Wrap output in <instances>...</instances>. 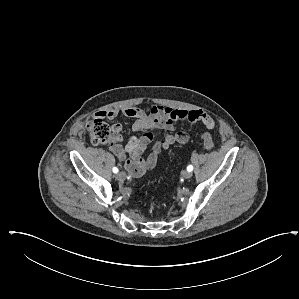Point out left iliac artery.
Wrapping results in <instances>:
<instances>
[{
	"instance_id": "left-iliac-artery-1",
	"label": "left iliac artery",
	"mask_w": 299,
	"mask_h": 299,
	"mask_svg": "<svg viewBox=\"0 0 299 299\" xmlns=\"http://www.w3.org/2000/svg\"><path fill=\"white\" fill-rule=\"evenodd\" d=\"M193 170V166L192 165H189L188 167H187V171H192Z\"/></svg>"
}]
</instances>
